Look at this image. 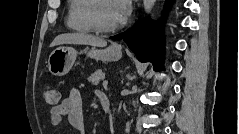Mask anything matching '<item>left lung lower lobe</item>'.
<instances>
[{
    "instance_id": "obj_1",
    "label": "left lung lower lobe",
    "mask_w": 239,
    "mask_h": 134,
    "mask_svg": "<svg viewBox=\"0 0 239 134\" xmlns=\"http://www.w3.org/2000/svg\"><path fill=\"white\" fill-rule=\"evenodd\" d=\"M166 8L164 19L166 18ZM123 39L141 62H152L156 71L163 70L164 38L162 25L154 26L148 19L135 23L131 30L110 37Z\"/></svg>"
}]
</instances>
